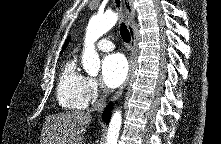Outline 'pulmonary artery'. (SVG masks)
Returning <instances> with one entry per match:
<instances>
[{
    "instance_id": "obj_1",
    "label": "pulmonary artery",
    "mask_w": 221,
    "mask_h": 144,
    "mask_svg": "<svg viewBox=\"0 0 221 144\" xmlns=\"http://www.w3.org/2000/svg\"><path fill=\"white\" fill-rule=\"evenodd\" d=\"M114 44L108 39H102L97 43V48L101 51L109 52L114 49Z\"/></svg>"
}]
</instances>
